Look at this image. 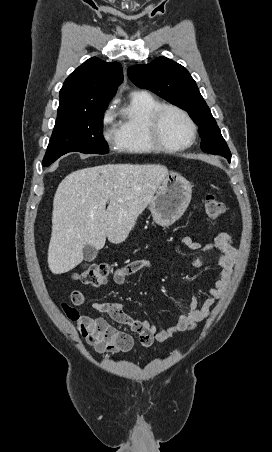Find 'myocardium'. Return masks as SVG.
Masks as SVG:
<instances>
[{"mask_svg":"<svg viewBox=\"0 0 272 452\" xmlns=\"http://www.w3.org/2000/svg\"><path fill=\"white\" fill-rule=\"evenodd\" d=\"M167 110H173L178 112L184 117V119L188 123L190 128V137L185 143H182L180 145H169L163 140L161 135L160 122L162 115ZM148 133L152 143L158 150L167 152H178L189 148L194 143L197 136V126L194 120L189 115V113L183 108L174 104H161L149 118Z\"/></svg>","mask_w":272,"mask_h":452,"instance_id":"1","label":"myocardium"}]
</instances>
